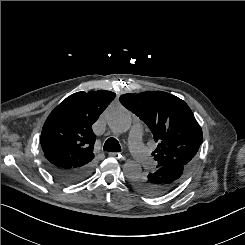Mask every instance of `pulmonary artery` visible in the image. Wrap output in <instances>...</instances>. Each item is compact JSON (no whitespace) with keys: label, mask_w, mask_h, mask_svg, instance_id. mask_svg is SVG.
I'll return each instance as SVG.
<instances>
[{"label":"pulmonary artery","mask_w":245,"mask_h":245,"mask_svg":"<svg viewBox=\"0 0 245 245\" xmlns=\"http://www.w3.org/2000/svg\"><path fill=\"white\" fill-rule=\"evenodd\" d=\"M130 147L138 162L144 168H150L154 165V160L150 156L147 148L142 144V124L135 122L129 134Z\"/></svg>","instance_id":"obj_1"}]
</instances>
